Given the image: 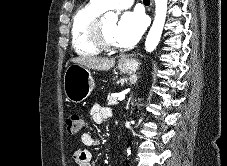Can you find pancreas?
<instances>
[{
  "instance_id": "pancreas-1",
  "label": "pancreas",
  "mask_w": 227,
  "mask_h": 166,
  "mask_svg": "<svg viewBox=\"0 0 227 166\" xmlns=\"http://www.w3.org/2000/svg\"><path fill=\"white\" fill-rule=\"evenodd\" d=\"M107 100H108L109 106L118 104V97L117 96H108Z\"/></svg>"
}]
</instances>
